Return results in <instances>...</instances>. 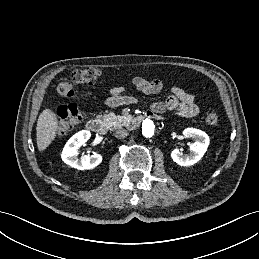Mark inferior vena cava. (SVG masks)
<instances>
[{"instance_id":"602c4592","label":"inferior vena cava","mask_w":259,"mask_h":259,"mask_svg":"<svg viewBox=\"0 0 259 259\" xmlns=\"http://www.w3.org/2000/svg\"><path fill=\"white\" fill-rule=\"evenodd\" d=\"M128 135V131L126 129H119L115 132L116 138H125Z\"/></svg>"}]
</instances>
